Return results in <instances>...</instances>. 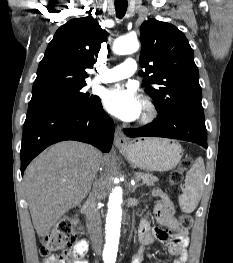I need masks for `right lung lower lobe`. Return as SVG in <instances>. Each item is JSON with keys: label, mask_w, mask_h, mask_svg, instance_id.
I'll use <instances>...</instances> for the list:
<instances>
[{"label": "right lung lower lobe", "mask_w": 233, "mask_h": 263, "mask_svg": "<svg viewBox=\"0 0 233 263\" xmlns=\"http://www.w3.org/2000/svg\"><path fill=\"white\" fill-rule=\"evenodd\" d=\"M114 124L97 99L74 110H56L27 116L21 144V173L31 160L49 145L62 140H77L109 152Z\"/></svg>", "instance_id": "right-lung-lower-lobe-1"}]
</instances>
